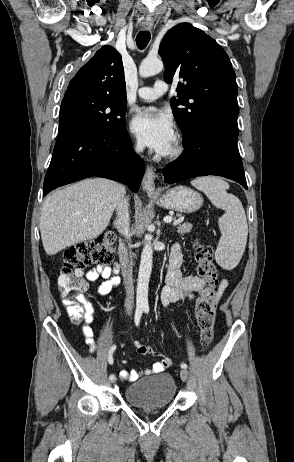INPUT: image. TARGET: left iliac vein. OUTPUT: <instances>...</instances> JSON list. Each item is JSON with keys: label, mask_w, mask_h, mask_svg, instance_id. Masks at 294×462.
I'll return each mask as SVG.
<instances>
[{"label": "left iliac vein", "mask_w": 294, "mask_h": 462, "mask_svg": "<svg viewBox=\"0 0 294 462\" xmlns=\"http://www.w3.org/2000/svg\"><path fill=\"white\" fill-rule=\"evenodd\" d=\"M180 377L183 381H186L188 379V371L186 369L181 370Z\"/></svg>", "instance_id": "4c4485c4"}]
</instances>
